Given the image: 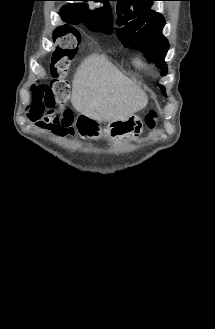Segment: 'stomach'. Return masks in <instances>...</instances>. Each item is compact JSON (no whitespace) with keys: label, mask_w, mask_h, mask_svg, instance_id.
Here are the masks:
<instances>
[{"label":"stomach","mask_w":215,"mask_h":329,"mask_svg":"<svg viewBox=\"0 0 215 329\" xmlns=\"http://www.w3.org/2000/svg\"><path fill=\"white\" fill-rule=\"evenodd\" d=\"M97 132L114 143H120L138 138L143 132V124L141 119L133 114L126 119L111 121Z\"/></svg>","instance_id":"1"}]
</instances>
